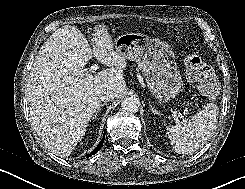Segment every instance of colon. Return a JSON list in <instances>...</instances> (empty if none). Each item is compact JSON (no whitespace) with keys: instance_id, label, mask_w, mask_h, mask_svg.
I'll return each instance as SVG.
<instances>
[{"instance_id":"obj_1","label":"colon","mask_w":245,"mask_h":189,"mask_svg":"<svg viewBox=\"0 0 245 189\" xmlns=\"http://www.w3.org/2000/svg\"><path fill=\"white\" fill-rule=\"evenodd\" d=\"M186 75L190 81L197 82L205 93V101L216 95L220 89L219 80L212 66L199 56L186 59Z\"/></svg>"}]
</instances>
